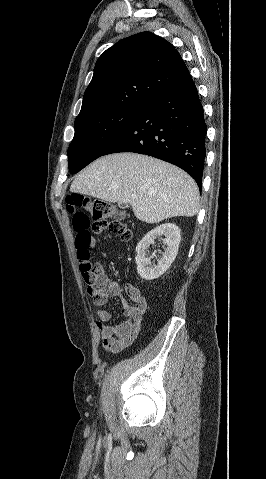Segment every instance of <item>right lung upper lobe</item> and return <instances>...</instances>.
<instances>
[{"instance_id":"cb5924a9","label":"right lung upper lobe","mask_w":266,"mask_h":479,"mask_svg":"<svg viewBox=\"0 0 266 479\" xmlns=\"http://www.w3.org/2000/svg\"><path fill=\"white\" fill-rule=\"evenodd\" d=\"M191 79L178 51L142 32L120 40L97 60L76 119L120 108H144L161 93Z\"/></svg>"}]
</instances>
